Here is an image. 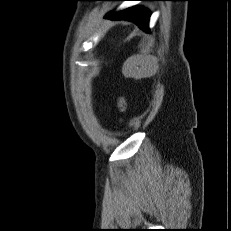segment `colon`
I'll list each match as a JSON object with an SVG mask.
<instances>
[{
  "label": "colon",
  "instance_id": "obj_1",
  "mask_svg": "<svg viewBox=\"0 0 231 231\" xmlns=\"http://www.w3.org/2000/svg\"><path fill=\"white\" fill-rule=\"evenodd\" d=\"M119 107H120V109H122V110H123V109L125 108V104H124V102H122V101H121V102L119 103Z\"/></svg>",
  "mask_w": 231,
  "mask_h": 231
}]
</instances>
